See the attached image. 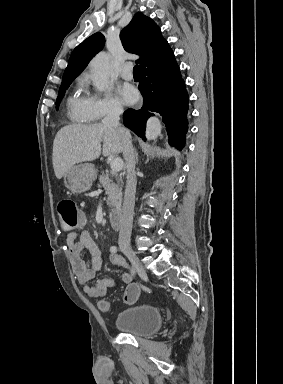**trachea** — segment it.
Masks as SVG:
<instances>
[{"instance_id": "1", "label": "trachea", "mask_w": 283, "mask_h": 384, "mask_svg": "<svg viewBox=\"0 0 283 384\" xmlns=\"http://www.w3.org/2000/svg\"><path fill=\"white\" fill-rule=\"evenodd\" d=\"M133 74H139V66L135 65L133 68Z\"/></svg>"}]
</instances>
